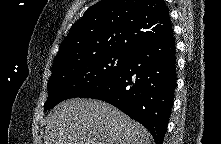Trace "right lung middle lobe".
Listing matches in <instances>:
<instances>
[{
    "label": "right lung middle lobe",
    "mask_w": 221,
    "mask_h": 144,
    "mask_svg": "<svg viewBox=\"0 0 221 144\" xmlns=\"http://www.w3.org/2000/svg\"><path fill=\"white\" fill-rule=\"evenodd\" d=\"M130 54L105 52L53 68L48 82L47 111L59 102L80 97L113 77L128 61Z\"/></svg>",
    "instance_id": "1"
}]
</instances>
